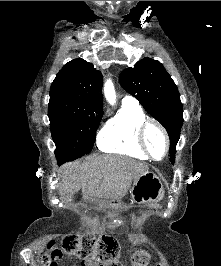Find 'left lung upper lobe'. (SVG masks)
<instances>
[{
	"instance_id": "5c2ea615",
	"label": "left lung upper lobe",
	"mask_w": 221,
	"mask_h": 266,
	"mask_svg": "<svg viewBox=\"0 0 221 266\" xmlns=\"http://www.w3.org/2000/svg\"><path fill=\"white\" fill-rule=\"evenodd\" d=\"M119 81L165 127L170 138V161L174 163L183 124V108L173 79L159 61L143 58L134 68L123 70Z\"/></svg>"
}]
</instances>
